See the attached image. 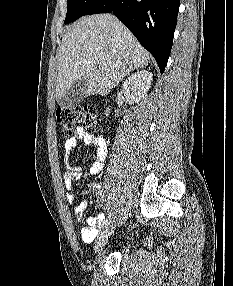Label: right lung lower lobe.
<instances>
[{
    "mask_svg": "<svg viewBox=\"0 0 233 286\" xmlns=\"http://www.w3.org/2000/svg\"><path fill=\"white\" fill-rule=\"evenodd\" d=\"M180 0H98L85 15L113 13L155 58L161 74L173 44Z\"/></svg>",
    "mask_w": 233,
    "mask_h": 286,
    "instance_id": "98d812e1",
    "label": "right lung lower lobe"
}]
</instances>
